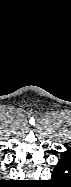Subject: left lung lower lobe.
I'll use <instances>...</instances> for the list:
<instances>
[{"mask_svg": "<svg viewBox=\"0 0 71 187\" xmlns=\"http://www.w3.org/2000/svg\"><path fill=\"white\" fill-rule=\"evenodd\" d=\"M52 178L55 182H69L71 178V151L63 152L52 172Z\"/></svg>", "mask_w": 71, "mask_h": 187, "instance_id": "left-lung-lower-lobe-1", "label": "left lung lower lobe"}]
</instances>
